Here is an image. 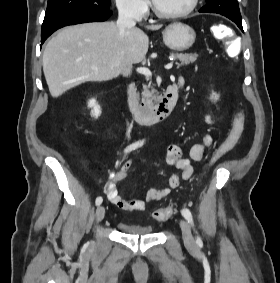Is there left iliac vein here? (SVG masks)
I'll return each mask as SVG.
<instances>
[{"instance_id":"1","label":"left iliac vein","mask_w":280,"mask_h":283,"mask_svg":"<svg viewBox=\"0 0 280 283\" xmlns=\"http://www.w3.org/2000/svg\"><path fill=\"white\" fill-rule=\"evenodd\" d=\"M180 228L182 231L183 240H184L185 245L189 248H194L196 246V243H195V240L192 235L190 225L188 224V222L184 219H181Z\"/></svg>"}]
</instances>
